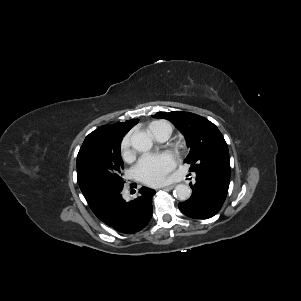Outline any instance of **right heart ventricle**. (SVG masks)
<instances>
[{
    "instance_id": "right-heart-ventricle-1",
    "label": "right heart ventricle",
    "mask_w": 301,
    "mask_h": 301,
    "mask_svg": "<svg viewBox=\"0 0 301 301\" xmlns=\"http://www.w3.org/2000/svg\"><path fill=\"white\" fill-rule=\"evenodd\" d=\"M161 123H164V122L158 121V122H153V123L150 124V126H149V131H150V133H151L152 135H153V128H154L156 125H159V124H161Z\"/></svg>"
}]
</instances>
